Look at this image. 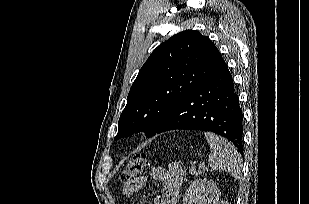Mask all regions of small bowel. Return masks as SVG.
<instances>
[{
	"instance_id": "obj_1",
	"label": "small bowel",
	"mask_w": 309,
	"mask_h": 204,
	"mask_svg": "<svg viewBox=\"0 0 309 204\" xmlns=\"http://www.w3.org/2000/svg\"><path fill=\"white\" fill-rule=\"evenodd\" d=\"M151 179L163 182L164 192L156 199V204H176L178 192L181 188L184 172L178 163H171L167 168L153 167L148 175ZM148 177L143 175L135 178L123 186L125 196H132L139 192L146 184Z\"/></svg>"
}]
</instances>
